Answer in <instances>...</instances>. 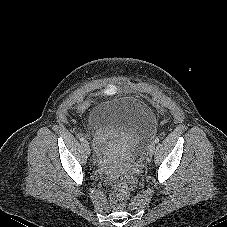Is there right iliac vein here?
<instances>
[{"label": "right iliac vein", "instance_id": "right-iliac-vein-1", "mask_svg": "<svg viewBox=\"0 0 227 227\" xmlns=\"http://www.w3.org/2000/svg\"><path fill=\"white\" fill-rule=\"evenodd\" d=\"M83 147L85 149V152L89 155L91 153V150L87 141L83 142Z\"/></svg>", "mask_w": 227, "mask_h": 227}]
</instances>
